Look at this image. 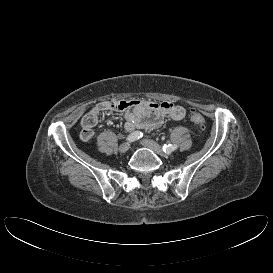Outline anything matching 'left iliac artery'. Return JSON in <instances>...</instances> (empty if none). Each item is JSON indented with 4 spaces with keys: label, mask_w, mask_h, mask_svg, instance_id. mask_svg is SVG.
<instances>
[{
    "label": "left iliac artery",
    "mask_w": 273,
    "mask_h": 273,
    "mask_svg": "<svg viewBox=\"0 0 273 273\" xmlns=\"http://www.w3.org/2000/svg\"><path fill=\"white\" fill-rule=\"evenodd\" d=\"M177 148H178V146L175 144H164L163 145V151L166 154H170L172 151L176 150Z\"/></svg>",
    "instance_id": "left-iliac-artery-1"
}]
</instances>
